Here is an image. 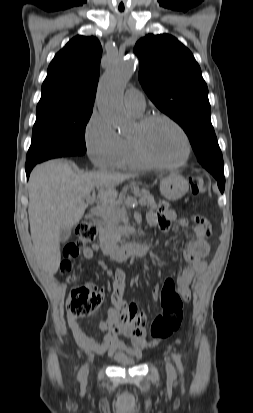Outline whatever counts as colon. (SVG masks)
<instances>
[{
  "label": "colon",
  "mask_w": 253,
  "mask_h": 413,
  "mask_svg": "<svg viewBox=\"0 0 253 413\" xmlns=\"http://www.w3.org/2000/svg\"><path fill=\"white\" fill-rule=\"evenodd\" d=\"M206 190V181L202 177H194L191 180L193 194H201ZM77 240L66 245L63 251L64 261L61 270L69 273L72 269L70 260L76 258L80 250L90 244L97 236V227L91 221H85L78 225ZM71 285L66 302L67 313L83 318L91 315L101 304L103 292L98 291L92 284H77L73 275L68 276ZM162 312L153 320L150 333L153 340L158 341L170 337L176 332L183 319L182 298L174 281L167 279L160 294Z\"/></svg>",
  "instance_id": "5ec220e1"
}]
</instances>
